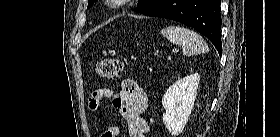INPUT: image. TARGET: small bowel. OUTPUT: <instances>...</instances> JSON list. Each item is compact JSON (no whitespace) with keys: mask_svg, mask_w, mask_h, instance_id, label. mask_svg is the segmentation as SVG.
<instances>
[{"mask_svg":"<svg viewBox=\"0 0 280 137\" xmlns=\"http://www.w3.org/2000/svg\"><path fill=\"white\" fill-rule=\"evenodd\" d=\"M104 99H110L113 107L126 121L131 137H146L148 126L141 115L146 110L148 99L141 85L132 78H123L118 93L107 87L95 89L91 93L89 108L96 111ZM115 130L117 127L112 126L106 132Z\"/></svg>","mask_w":280,"mask_h":137,"instance_id":"obj_1","label":"small bowel"}]
</instances>
